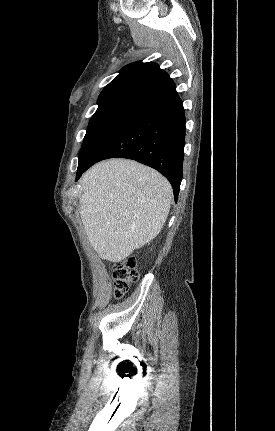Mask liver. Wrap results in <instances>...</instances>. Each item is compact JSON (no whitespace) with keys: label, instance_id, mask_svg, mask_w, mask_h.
Returning a JSON list of instances; mask_svg holds the SVG:
<instances>
[{"label":"liver","instance_id":"6515ba94","mask_svg":"<svg viewBox=\"0 0 275 431\" xmlns=\"http://www.w3.org/2000/svg\"><path fill=\"white\" fill-rule=\"evenodd\" d=\"M79 211L99 257L121 262L161 231L173 197L156 170L127 159L92 166L81 179Z\"/></svg>","mask_w":275,"mask_h":431}]
</instances>
